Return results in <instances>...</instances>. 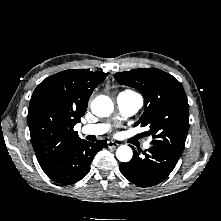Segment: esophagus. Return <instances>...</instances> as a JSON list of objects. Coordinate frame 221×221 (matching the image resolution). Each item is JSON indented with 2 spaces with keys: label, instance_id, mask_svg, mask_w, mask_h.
Instances as JSON below:
<instances>
[{
  "label": "esophagus",
  "instance_id": "esophagus-1",
  "mask_svg": "<svg viewBox=\"0 0 221 221\" xmlns=\"http://www.w3.org/2000/svg\"><path fill=\"white\" fill-rule=\"evenodd\" d=\"M107 146L108 148H116L117 146H119V144L117 142H114V141H108L107 142Z\"/></svg>",
  "mask_w": 221,
  "mask_h": 221
}]
</instances>
